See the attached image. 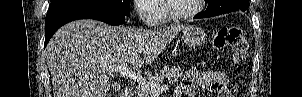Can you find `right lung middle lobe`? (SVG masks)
Returning <instances> with one entry per match:
<instances>
[{"label": "right lung middle lobe", "mask_w": 302, "mask_h": 97, "mask_svg": "<svg viewBox=\"0 0 302 97\" xmlns=\"http://www.w3.org/2000/svg\"><path fill=\"white\" fill-rule=\"evenodd\" d=\"M77 3H100L109 5L116 10L124 13L126 16H129L130 13V0H51L49 9Z\"/></svg>", "instance_id": "obj_1"}]
</instances>
